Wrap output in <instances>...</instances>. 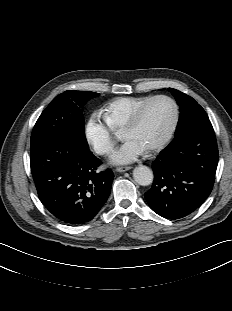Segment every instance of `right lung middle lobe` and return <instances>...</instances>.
Instances as JSON below:
<instances>
[{
    "mask_svg": "<svg viewBox=\"0 0 232 311\" xmlns=\"http://www.w3.org/2000/svg\"><path fill=\"white\" fill-rule=\"evenodd\" d=\"M98 93L65 91L55 97L38 118L31 136V145L46 139L59 138L88 150L81 108Z\"/></svg>",
    "mask_w": 232,
    "mask_h": 311,
    "instance_id": "dd1d6c3e",
    "label": "right lung middle lobe"
}]
</instances>
